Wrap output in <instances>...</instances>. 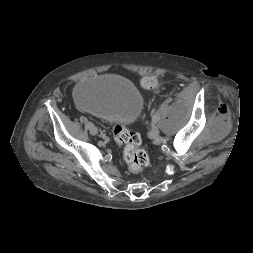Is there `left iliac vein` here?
Returning a JSON list of instances; mask_svg holds the SVG:
<instances>
[{
	"label": "left iliac vein",
	"instance_id": "4c4485c4",
	"mask_svg": "<svg viewBox=\"0 0 253 253\" xmlns=\"http://www.w3.org/2000/svg\"><path fill=\"white\" fill-rule=\"evenodd\" d=\"M160 130L158 128V126L153 125L151 128V137L154 138L159 134Z\"/></svg>",
	"mask_w": 253,
	"mask_h": 253
}]
</instances>
